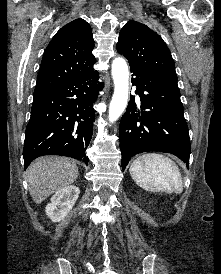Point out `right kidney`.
Segmentation results:
<instances>
[{
    "label": "right kidney",
    "mask_w": 221,
    "mask_h": 274,
    "mask_svg": "<svg viewBox=\"0 0 221 274\" xmlns=\"http://www.w3.org/2000/svg\"><path fill=\"white\" fill-rule=\"evenodd\" d=\"M80 190L75 185L66 186L58 190L46 206V215L53 221L63 220L73 208Z\"/></svg>",
    "instance_id": "ca27d5eb"
}]
</instances>
